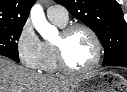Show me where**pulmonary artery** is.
Returning a JSON list of instances; mask_svg holds the SVG:
<instances>
[{
  "label": "pulmonary artery",
  "instance_id": "e3ab8cb5",
  "mask_svg": "<svg viewBox=\"0 0 127 92\" xmlns=\"http://www.w3.org/2000/svg\"><path fill=\"white\" fill-rule=\"evenodd\" d=\"M47 15L49 18L56 19L63 22H66L68 20L67 10L60 5L50 6L47 10Z\"/></svg>",
  "mask_w": 127,
  "mask_h": 92
}]
</instances>
